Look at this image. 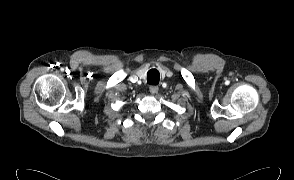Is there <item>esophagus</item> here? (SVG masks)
I'll use <instances>...</instances> for the list:
<instances>
[{"label":"esophagus","mask_w":294,"mask_h":180,"mask_svg":"<svg viewBox=\"0 0 294 180\" xmlns=\"http://www.w3.org/2000/svg\"><path fill=\"white\" fill-rule=\"evenodd\" d=\"M149 91H150L151 94H157L158 91H159V87L158 86H151L149 88Z\"/></svg>","instance_id":"34e87169"}]
</instances>
